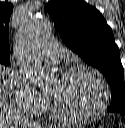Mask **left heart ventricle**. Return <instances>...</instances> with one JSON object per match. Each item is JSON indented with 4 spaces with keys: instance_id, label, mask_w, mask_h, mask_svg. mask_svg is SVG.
<instances>
[{
    "instance_id": "obj_1",
    "label": "left heart ventricle",
    "mask_w": 125,
    "mask_h": 128,
    "mask_svg": "<svg viewBox=\"0 0 125 128\" xmlns=\"http://www.w3.org/2000/svg\"><path fill=\"white\" fill-rule=\"evenodd\" d=\"M50 94L70 113H88L95 110L102 99L101 85L87 72L56 78Z\"/></svg>"
}]
</instances>
